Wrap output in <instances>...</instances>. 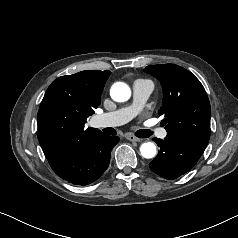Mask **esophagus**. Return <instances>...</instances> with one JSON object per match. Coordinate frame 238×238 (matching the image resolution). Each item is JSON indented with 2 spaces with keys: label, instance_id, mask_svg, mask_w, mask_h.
I'll use <instances>...</instances> for the list:
<instances>
[{
  "label": "esophagus",
  "instance_id": "obj_1",
  "mask_svg": "<svg viewBox=\"0 0 238 238\" xmlns=\"http://www.w3.org/2000/svg\"><path fill=\"white\" fill-rule=\"evenodd\" d=\"M126 139L129 140V141H132V142H140L141 139L132 135V134H126Z\"/></svg>",
  "mask_w": 238,
  "mask_h": 238
}]
</instances>
